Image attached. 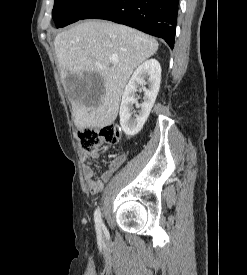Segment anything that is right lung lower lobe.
Instances as JSON below:
<instances>
[{"mask_svg":"<svg viewBox=\"0 0 247 275\" xmlns=\"http://www.w3.org/2000/svg\"><path fill=\"white\" fill-rule=\"evenodd\" d=\"M179 0H100L80 20H110L163 38L174 47Z\"/></svg>","mask_w":247,"mask_h":275,"instance_id":"1","label":"right lung lower lobe"}]
</instances>
